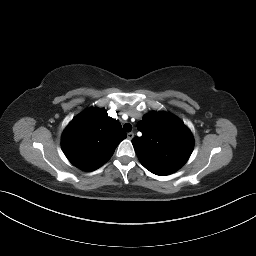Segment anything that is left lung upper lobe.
I'll use <instances>...</instances> for the list:
<instances>
[{
	"mask_svg": "<svg viewBox=\"0 0 256 256\" xmlns=\"http://www.w3.org/2000/svg\"><path fill=\"white\" fill-rule=\"evenodd\" d=\"M141 137L132 139L136 154L145 168L156 175H169L189 159L194 140L177 117L165 112L144 115L137 125Z\"/></svg>",
	"mask_w": 256,
	"mask_h": 256,
	"instance_id": "left-lung-upper-lobe-1",
	"label": "left lung upper lobe"
}]
</instances>
